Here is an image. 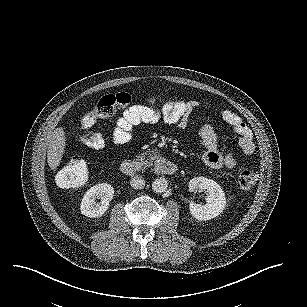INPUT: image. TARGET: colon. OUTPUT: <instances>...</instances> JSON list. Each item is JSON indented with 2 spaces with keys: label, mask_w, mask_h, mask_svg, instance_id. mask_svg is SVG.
<instances>
[{
  "label": "colon",
  "mask_w": 307,
  "mask_h": 307,
  "mask_svg": "<svg viewBox=\"0 0 307 307\" xmlns=\"http://www.w3.org/2000/svg\"><path fill=\"white\" fill-rule=\"evenodd\" d=\"M160 99L151 96L147 99V106H153ZM127 93H118L102 97L97 104L82 116L81 124L85 129H89L100 118L113 115L118 110L128 108L133 103H138ZM82 143L93 149H101L105 146V139L101 133L87 131L82 136ZM88 162L84 158L76 157L70 160L56 174V183L60 188L69 189L82 186L88 179ZM258 180V172L254 167H243L238 176V183L244 190H249L255 186Z\"/></svg>",
  "instance_id": "colon-1"
}]
</instances>
